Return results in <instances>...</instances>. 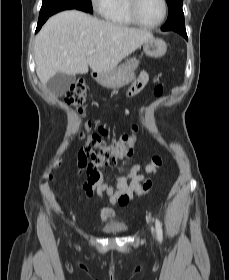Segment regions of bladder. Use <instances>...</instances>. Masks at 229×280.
<instances>
[{"instance_id": "bladder-1", "label": "bladder", "mask_w": 229, "mask_h": 280, "mask_svg": "<svg viewBox=\"0 0 229 280\" xmlns=\"http://www.w3.org/2000/svg\"><path fill=\"white\" fill-rule=\"evenodd\" d=\"M128 230V225L126 223H118L113 226H111L107 232L110 234H118V233H123Z\"/></svg>"}]
</instances>
